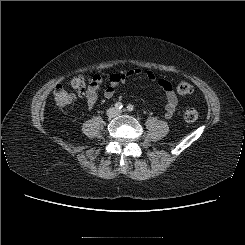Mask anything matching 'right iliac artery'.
Segmentation results:
<instances>
[{
	"instance_id": "82829eb1",
	"label": "right iliac artery",
	"mask_w": 245,
	"mask_h": 245,
	"mask_svg": "<svg viewBox=\"0 0 245 245\" xmlns=\"http://www.w3.org/2000/svg\"><path fill=\"white\" fill-rule=\"evenodd\" d=\"M115 108L118 109V110L122 109V108H123L122 103L117 102V103L115 104Z\"/></svg>"
}]
</instances>
